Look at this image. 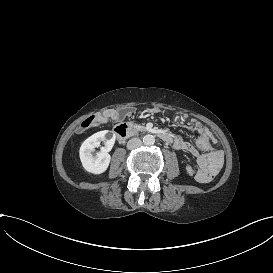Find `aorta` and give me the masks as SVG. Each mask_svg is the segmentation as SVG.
<instances>
[{
	"label": "aorta",
	"mask_w": 273,
	"mask_h": 273,
	"mask_svg": "<svg viewBox=\"0 0 273 273\" xmlns=\"http://www.w3.org/2000/svg\"><path fill=\"white\" fill-rule=\"evenodd\" d=\"M143 143H144V145L151 146L155 143V137L150 134L145 135L143 137Z\"/></svg>",
	"instance_id": "1"
}]
</instances>
